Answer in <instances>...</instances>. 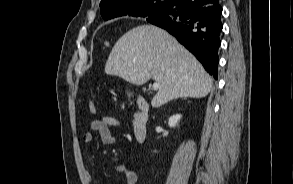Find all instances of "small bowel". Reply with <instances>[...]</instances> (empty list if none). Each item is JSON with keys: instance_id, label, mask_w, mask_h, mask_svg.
I'll list each match as a JSON object with an SVG mask.
<instances>
[{"instance_id": "c3829d8e", "label": "small bowel", "mask_w": 293, "mask_h": 184, "mask_svg": "<svg viewBox=\"0 0 293 184\" xmlns=\"http://www.w3.org/2000/svg\"><path fill=\"white\" fill-rule=\"evenodd\" d=\"M121 122L112 116H104L93 120L90 123V132L83 135L82 139L86 145L93 142L92 132H97L100 136L101 142L104 145H112L116 142V137L111 129L112 127H119ZM117 173L123 174L126 177V184H135L137 181V174L126 164H117L114 167ZM85 177L89 183L93 181V176L89 170H86Z\"/></svg>"}]
</instances>
